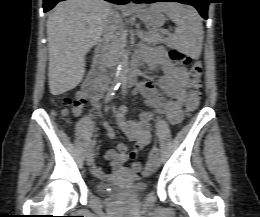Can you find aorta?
Masks as SVG:
<instances>
[{
    "label": "aorta",
    "instance_id": "aorta-1",
    "mask_svg": "<svg viewBox=\"0 0 260 217\" xmlns=\"http://www.w3.org/2000/svg\"><path fill=\"white\" fill-rule=\"evenodd\" d=\"M128 60H129L128 52L125 51L122 55L121 62L118 66V75H119V79L121 80L125 78L126 73L128 71Z\"/></svg>",
    "mask_w": 260,
    "mask_h": 217
}]
</instances>
